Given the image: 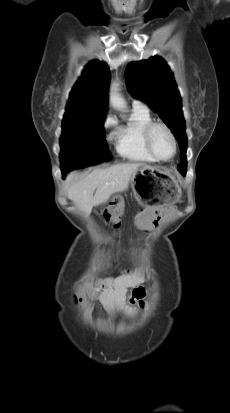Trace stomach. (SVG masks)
<instances>
[{"mask_svg": "<svg viewBox=\"0 0 230 413\" xmlns=\"http://www.w3.org/2000/svg\"><path fill=\"white\" fill-rule=\"evenodd\" d=\"M131 187L137 202L146 208L172 205L181 196L177 178L158 166H141L131 177Z\"/></svg>", "mask_w": 230, "mask_h": 413, "instance_id": "0dacf381", "label": "stomach"}]
</instances>
